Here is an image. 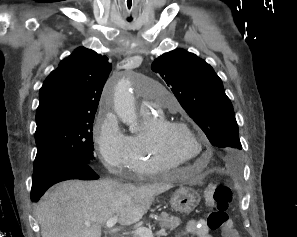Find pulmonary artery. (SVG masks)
<instances>
[{"label": "pulmonary artery", "instance_id": "obj_1", "mask_svg": "<svg viewBox=\"0 0 297 237\" xmlns=\"http://www.w3.org/2000/svg\"><path fill=\"white\" fill-rule=\"evenodd\" d=\"M150 106L152 107H165L172 110H175L178 106L176 99L172 94L166 92L162 95H158L150 102ZM149 110V105H142L141 111L146 112Z\"/></svg>", "mask_w": 297, "mask_h": 237}]
</instances>
